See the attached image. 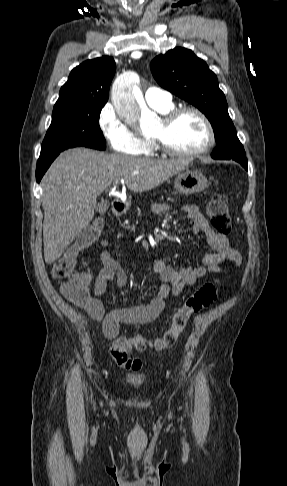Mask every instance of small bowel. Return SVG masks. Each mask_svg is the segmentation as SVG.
Here are the masks:
<instances>
[{
    "mask_svg": "<svg viewBox=\"0 0 287 486\" xmlns=\"http://www.w3.org/2000/svg\"><path fill=\"white\" fill-rule=\"evenodd\" d=\"M169 207L158 203L153 205L152 211L156 215L167 213ZM186 216L193 222V232L202 233L210 252L204 255L200 264L180 269L166 262L156 259L153 261V271L159 278L157 294L147 303L131 307H121L109 312L105 311L101 297L106 292L110 282L115 281L117 286L127 284V274L121 264L115 260L109 250L110 241L102 239L100 259L102 268L94 279L90 299L85 306L88 315L102 325L103 334L108 339H115L122 325L148 324L156 320L165 307V300L170 296H178L186 286L196 284L198 279L207 273L224 272L222 264L227 261L234 267L241 263L240 253L230 245L229 239L217 234L196 205L183 207Z\"/></svg>",
    "mask_w": 287,
    "mask_h": 486,
    "instance_id": "c3829d8e",
    "label": "small bowel"
}]
</instances>
